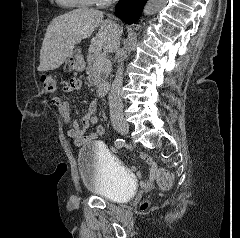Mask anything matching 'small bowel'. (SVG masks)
I'll return each instance as SVG.
<instances>
[{"label": "small bowel", "mask_w": 240, "mask_h": 238, "mask_svg": "<svg viewBox=\"0 0 240 238\" xmlns=\"http://www.w3.org/2000/svg\"><path fill=\"white\" fill-rule=\"evenodd\" d=\"M80 88H81V83L76 79H71L65 85L64 90L65 92L73 93L78 91ZM53 103L57 107V110L60 113L63 120L67 124H70V127L67 130V135L72 139L73 144L75 146H80L83 143L95 141L104 134L103 126L99 123L98 118L95 116V113L99 106L98 99H94L91 102L89 111L84 117H82L81 119H75V120H71L70 105L67 101L62 100L58 97H55L53 98ZM91 127L95 128V132H92L89 135H85L86 130ZM108 150L112 151V154L122 153V150L118 149L117 146H109ZM126 150L133 151L134 147L131 146L130 143H127ZM141 158L147 163L149 167V173L146 179H138V184H140L141 187H154V182L152 181L155 179V176H156V171H157L156 163L151 157H149L145 153L141 154ZM132 167H133L132 171L135 172L136 175L143 174L142 170H137V168L134 165Z\"/></svg>", "instance_id": "small-bowel-1"}]
</instances>
